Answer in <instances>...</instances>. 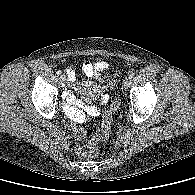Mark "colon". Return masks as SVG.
Segmentation results:
<instances>
[{"mask_svg": "<svg viewBox=\"0 0 195 195\" xmlns=\"http://www.w3.org/2000/svg\"><path fill=\"white\" fill-rule=\"evenodd\" d=\"M119 108V99L116 98L108 111L106 112L103 121H102V130H101V138L106 139L109 135L110 127L112 124V115L117 111ZM74 136L77 140H84L85 139V131L80 127L74 128ZM100 141V136L95 135L93 136L85 146L79 147L78 152L81 156L92 158L96 156L97 153V144Z\"/></svg>", "mask_w": 195, "mask_h": 195, "instance_id": "1", "label": "colon"}]
</instances>
